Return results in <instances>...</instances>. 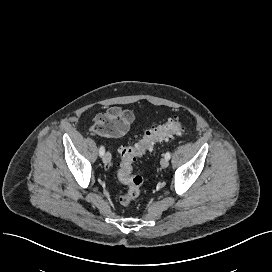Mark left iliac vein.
I'll list each match as a JSON object with an SVG mask.
<instances>
[{
    "label": "left iliac vein",
    "mask_w": 272,
    "mask_h": 272,
    "mask_svg": "<svg viewBox=\"0 0 272 272\" xmlns=\"http://www.w3.org/2000/svg\"><path fill=\"white\" fill-rule=\"evenodd\" d=\"M160 165L163 168H167L168 165H169V160L167 158H162L161 161H160Z\"/></svg>",
    "instance_id": "4c4485c4"
}]
</instances>
